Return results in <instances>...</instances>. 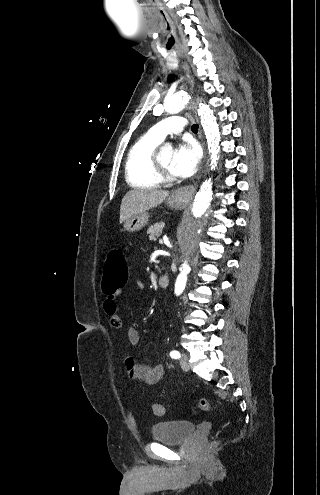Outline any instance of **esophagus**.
<instances>
[{
    "label": "esophagus",
    "instance_id": "1",
    "mask_svg": "<svg viewBox=\"0 0 320 495\" xmlns=\"http://www.w3.org/2000/svg\"><path fill=\"white\" fill-rule=\"evenodd\" d=\"M184 70H185L186 75H187L188 83L190 84L191 89H192L194 87V81H193V78L189 75V70H188L187 65H184ZM203 146H204V144H203ZM195 190H196L195 184L194 185H187V186H183V187L178 188L175 191L174 195L177 199H179L181 201H190L193 199Z\"/></svg>",
    "mask_w": 320,
    "mask_h": 495
}]
</instances>
